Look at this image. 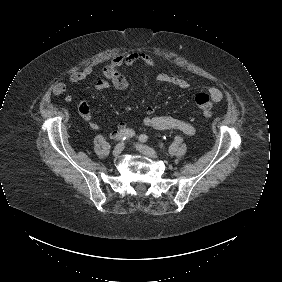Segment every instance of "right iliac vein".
Masks as SVG:
<instances>
[{"mask_svg":"<svg viewBox=\"0 0 282 282\" xmlns=\"http://www.w3.org/2000/svg\"><path fill=\"white\" fill-rule=\"evenodd\" d=\"M124 147H125L124 143L117 144L116 147L113 150V156L118 157L122 153Z\"/></svg>","mask_w":282,"mask_h":282,"instance_id":"63e3f726","label":"right iliac vein"}]
</instances>
